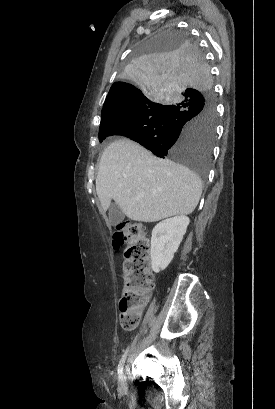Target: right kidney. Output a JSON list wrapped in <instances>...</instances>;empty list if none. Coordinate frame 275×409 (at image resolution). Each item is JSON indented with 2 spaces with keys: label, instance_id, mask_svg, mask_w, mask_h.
<instances>
[{
  "label": "right kidney",
  "instance_id": "ca27d5eb",
  "mask_svg": "<svg viewBox=\"0 0 275 409\" xmlns=\"http://www.w3.org/2000/svg\"><path fill=\"white\" fill-rule=\"evenodd\" d=\"M190 223L188 217H172L158 223L151 237V265L160 273L171 263Z\"/></svg>",
  "mask_w": 275,
  "mask_h": 409
}]
</instances>
